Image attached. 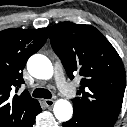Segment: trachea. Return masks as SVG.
Returning <instances> with one entry per match:
<instances>
[{
  "mask_svg": "<svg viewBox=\"0 0 127 127\" xmlns=\"http://www.w3.org/2000/svg\"><path fill=\"white\" fill-rule=\"evenodd\" d=\"M33 97L36 98H46V99H50L52 97V94L49 90L47 89H42V88H36L33 91Z\"/></svg>",
  "mask_w": 127,
  "mask_h": 127,
  "instance_id": "trachea-1",
  "label": "trachea"
}]
</instances>
